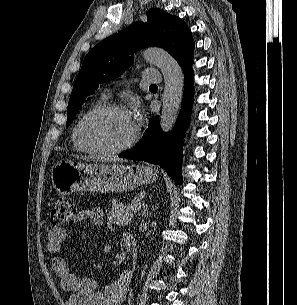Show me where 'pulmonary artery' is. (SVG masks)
<instances>
[{"mask_svg": "<svg viewBox=\"0 0 297 305\" xmlns=\"http://www.w3.org/2000/svg\"><path fill=\"white\" fill-rule=\"evenodd\" d=\"M142 81L147 83H158L160 82V78L157 75V72L153 69H147L142 73ZM111 90L109 88H105L103 90V96H109Z\"/></svg>", "mask_w": 297, "mask_h": 305, "instance_id": "e3ab8cb5", "label": "pulmonary artery"}]
</instances>
